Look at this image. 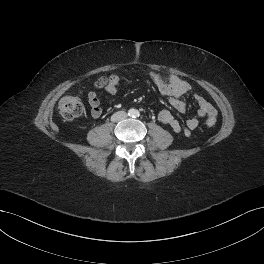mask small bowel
I'll return each instance as SVG.
<instances>
[{
	"label": "small bowel",
	"mask_w": 264,
	"mask_h": 264,
	"mask_svg": "<svg viewBox=\"0 0 264 264\" xmlns=\"http://www.w3.org/2000/svg\"><path fill=\"white\" fill-rule=\"evenodd\" d=\"M118 79L117 76L114 75ZM150 81L157 86L159 92L168 99L169 103L178 111L185 112L187 109L186 95H191L198 106L197 116L190 118L186 121L185 125H181L179 121L168 110H162L158 119L161 124L167 126L177 134H183L186 137L191 136L192 131L195 130L199 124L200 119L203 117L216 118L217 111L214 106L206 100L203 96L193 92L191 85L182 80L176 75H161L158 73H150ZM109 79L101 77L95 83V88L101 89L106 87L111 93L115 92L110 90ZM88 103L91 108V116L93 118H99L102 115V108L100 100L95 91H90L87 94Z\"/></svg>",
	"instance_id": "1"
}]
</instances>
